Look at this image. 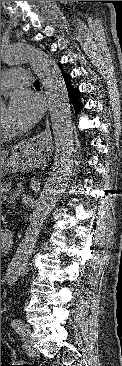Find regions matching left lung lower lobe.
<instances>
[{
	"label": "left lung lower lobe",
	"instance_id": "left-lung-lower-lobe-1",
	"mask_svg": "<svg viewBox=\"0 0 122 366\" xmlns=\"http://www.w3.org/2000/svg\"><path fill=\"white\" fill-rule=\"evenodd\" d=\"M59 66L61 67V64H59ZM62 75H63L64 81L66 83V87H67V91H68L71 103H72L74 109L76 111H78L82 107V103H80V100H79L80 92L78 89H76L70 85V80H71L70 75H67L63 72H62Z\"/></svg>",
	"mask_w": 122,
	"mask_h": 366
}]
</instances>
